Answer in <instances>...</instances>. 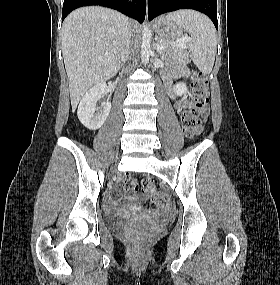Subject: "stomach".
Wrapping results in <instances>:
<instances>
[{
    "mask_svg": "<svg viewBox=\"0 0 280 285\" xmlns=\"http://www.w3.org/2000/svg\"><path fill=\"white\" fill-rule=\"evenodd\" d=\"M154 31L159 35V38L173 41L183 37V28L176 22L161 17L153 24Z\"/></svg>",
    "mask_w": 280,
    "mask_h": 285,
    "instance_id": "0dacf381",
    "label": "stomach"
}]
</instances>
